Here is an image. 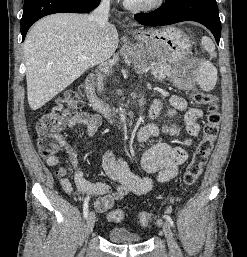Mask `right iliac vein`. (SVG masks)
<instances>
[{
	"label": "right iliac vein",
	"instance_id": "obj_1",
	"mask_svg": "<svg viewBox=\"0 0 247 257\" xmlns=\"http://www.w3.org/2000/svg\"><path fill=\"white\" fill-rule=\"evenodd\" d=\"M95 213L91 211L87 216V223H86V233L87 235L90 234L94 228L95 224ZM78 257H83V253L79 254Z\"/></svg>",
	"mask_w": 247,
	"mask_h": 257
}]
</instances>
